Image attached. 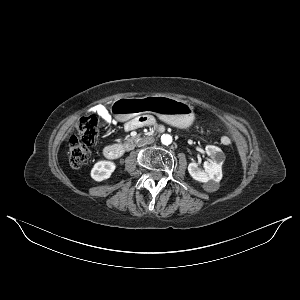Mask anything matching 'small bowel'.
I'll list each match as a JSON object with an SVG mask.
<instances>
[{"label": "small bowel", "mask_w": 300, "mask_h": 300, "mask_svg": "<svg viewBox=\"0 0 300 300\" xmlns=\"http://www.w3.org/2000/svg\"><path fill=\"white\" fill-rule=\"evenodd\" d=\"M93 112L98 113L100 116L106 118L107 117V112L105 109H103L102 107H96L93 109ZM143 124V120L141 119H133L129 122L128 126L130 128H136L139 127ZM222 143L223 144H229L230 143V139L228 137H223L222 138Z\"/></svg>", "instance_id": "obj_1"}]
</instances>
